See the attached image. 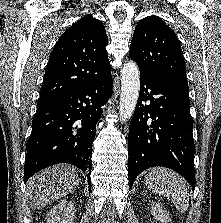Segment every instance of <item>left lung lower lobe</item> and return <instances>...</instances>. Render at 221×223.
Listing matches in <instances>:
<instances>
[{
    "label": "left lung lower lobe",
    "instance_id": "0a47b994",
    "mask_svg": "<svg viewBox=\"0 0 221 223\" xmlns=\"http://www.w3.org/2000/svg\"><path fill=\"white\" fill-rule=\"evenodd\" d=\"M140 78V95L129 126V187L142 171L163 166L181 174L194 189L195 148L188 92L143 75Z\"/></svg>",
    "mask_w": 221,
    "mask_h": 223
}]
</instances>
